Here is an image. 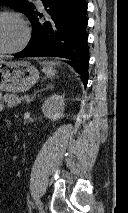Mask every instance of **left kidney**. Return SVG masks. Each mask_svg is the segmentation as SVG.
<instances>
[{
  "instance_id": "1",
  "label": "left kidney",
  "mask_w": 128,
  "mask_h": 213,
  "mask_svg": "<svg viewBox=\"0 0 128 213\" xmlns=\"http://www.w3.org/2000/svg\"><path fill=\"white\" fill-rule=\"evenodd\" d=\"M64 108V95L54 94L45 100L41 110L47 118L56 121L63 117Z\"/></svg>"
}]
</instances>
